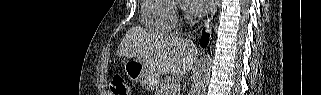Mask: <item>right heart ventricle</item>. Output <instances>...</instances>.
Instances as JSON below:
<instances>
[{
	"instance_id": "obj_1",
	"label": "right heart ventricle",
	"mask_w": 321,
	"mask_h": 95,
	"mask_svg": "<svg viewBox=\"0 0 321 95\" xmlns=\"http://www.w3.org/2000/svg\"><path fill=\"white\" fill-rule=\"evenodd\" d=\"M141 18L144 26L152 31L172 32L177 24L176 3L173 0H144Z\"/></svg>"
}]
</instances>
